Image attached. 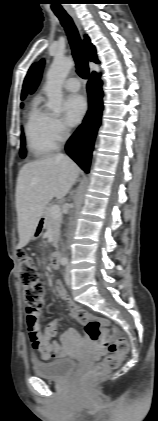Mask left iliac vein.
Segmentation results:
<instances>
[{"instance_id":"obj_1","label":"left iliac vein","mask_w":158,"mask_h":421,"mask_svg":"<svg viewBox=\"0 0 158 421\" xmlns=\"http://www.w3.org/2000/svg\"><path fill=\"white\" fill-rule=\"evenodd\" d=\"M65 282L68 286L71 285V275L69 273V269L67 268L66 274H65Z\"/></svg>"}]
</instances>
